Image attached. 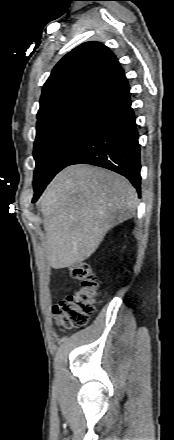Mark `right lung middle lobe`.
Returning a JSON list of instances; mask_svg holds the SVG:
<instances>
[{
    "label": "right lung middle lobe",
    "mask_w": 174,
    "mask_h": 440,
    "mask_svg": "<svg viewBox=\"0 0 174 440\" xmlns=\"http://www.w3.org/2000/svg\"><path fill=\"white\" fill-rule=\"evenodd\" d=\"M97 99V95L81 97L38 120L34 188L48 184L73 159L91 125Z\"/></svg>",
    "instance_id": "obj_1"
}]
</instances>
